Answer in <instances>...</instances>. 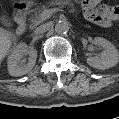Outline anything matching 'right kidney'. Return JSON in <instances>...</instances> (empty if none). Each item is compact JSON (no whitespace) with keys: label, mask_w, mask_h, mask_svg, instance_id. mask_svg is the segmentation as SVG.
<instances>
[{"label":"right kidney","mask_w":119,"mask_h":119,"mask_svg":"<svg viewBox=\"0 0 119 119\" xmlns=\"http://www.w3.org/2000/svg\"><path fill=\"white\" fill-rule=\"evenodd\" d=\"M28 54V63L21 61L24 55ZM37 59V51L34 48H29L26 43L18 44L11 55L8 57V71L11 76H22L30 72L35 66Z\"/></svg>","instance_id":"right-kidney-1"}]
</instances>
